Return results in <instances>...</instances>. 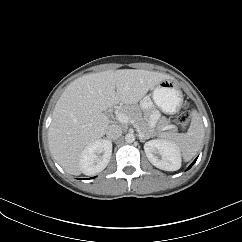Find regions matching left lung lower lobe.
Segmentation results:
<instances>
[{
  "instance_id": "left-lung-lower-lobe-1",
  "label": "left lung lower lobe",
  "mask_w": 242,
  "mask_h": 242,
  "mask_svg": "<svg viewBox=\"0 0 242 242\" xmlns=\"http://www.w3.org/2000/svg\"><path fill=\"white\" fill-rule=\"evenodd\" d=\"M196 160H197V159H196ZM196 160H195V161H196ZM195 161H194V162L188 167V169H190V168L192 167V165L195 163Z\"/></svg>"
}]
</instances>
